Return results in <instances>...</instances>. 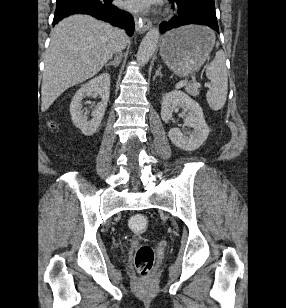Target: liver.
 <instances>
[{"mask_svg": "<svg viewBox=\"0 0 286 308\" xmlns=\"http://www.w3.org/2000/svg\"><path fill=\"white\" fill-rule=\"evenodd\" d=\"M120 40L119 29L87 15L60 21L51 31L44 60L41 110L46 111L68 88L96 75Z\"/></svg>", "mask_w": 286, "mask_h": 308, "instance_id": "6515ba94", "label": "liver"}]
</instances>
